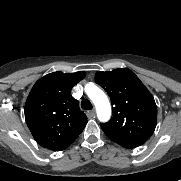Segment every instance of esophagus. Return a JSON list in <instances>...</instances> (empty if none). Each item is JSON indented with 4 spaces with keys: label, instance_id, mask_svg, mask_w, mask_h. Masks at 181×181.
<instances>
[{
    "label": "esophagus",
    "instance_id": "34e87169",
    "mask_svg": "<svg viewBox=\"0 0 181 181\" xmlns=\"http://www.w3.org/2000/svg\"><path fill=\"white\" fill-rule=\"evenodd\" d=\"M89 115H90L91 117H95V115H96L95 109L90 110V111H89Z\"/></svg>",
    "mask_w": 181,
    "mask_h": 181
}]
</instances>
